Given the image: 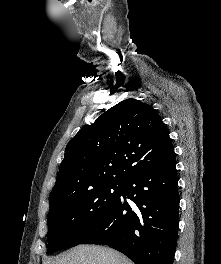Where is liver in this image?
<instances>
[{"label": "liver", "mask_w": 221, "mask_h": 264, "mask_svg": "<svg viewBox=\"0 0 221 264\" xmlns=\"http://www.w3.org/2000/svg\"><path fill=\"white\" fill-rule=\"evenodd\" d=\"M43 264H133L121 253L107 247L77 246L67 254L49 259Z\"/></svg>", "instance_id": "1"}]
</instances>
